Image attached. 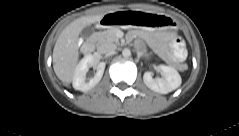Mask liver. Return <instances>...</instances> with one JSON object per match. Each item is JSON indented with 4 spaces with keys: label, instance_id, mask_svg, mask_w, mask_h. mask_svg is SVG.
<instances>
[{
    "label": "liver",
    "instance_id": "6515ba94",
    "mask_svg": "<svg viewBox=\"0 0 239 136\" xmlns=\"http://www.w3.org/2000/svg\"><path fill=\"white\" fill-rule=\"evenodd\" d=\"M103 15H91L80 17L68 26L59 35L53 49V68L57 77L69 84L74 77V71L79 60L78 41L82 30L96 22Z\"/></svg>",
    "mask_w": 239,
    "mask_h": 136
}]
</instances>
